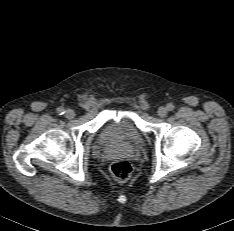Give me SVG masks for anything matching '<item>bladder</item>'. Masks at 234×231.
Listing matches in <instances>:
<instances>
[{
    "label": "bladder",
    "mask_w": 234,
    "mask_h": 231,
    "mask_svg": "<svg viewBox=\"0 0 234 231\" xmlns=\"http://www.w3.org/2000/svg\"><path fill=\"white\" fill-rule=\"evenodd\" d=\"M100 143L103 148H110L119 144L140 147L143 145L144 139L131 119L121 117L108 125L100 138Z\"/></svg>",
    "instance_id": "obj_1"
}]
</instances>
